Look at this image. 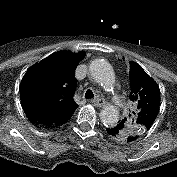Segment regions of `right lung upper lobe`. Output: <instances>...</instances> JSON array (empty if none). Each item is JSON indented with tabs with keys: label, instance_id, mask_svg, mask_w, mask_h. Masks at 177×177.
<instances>
[{
	"label": "right lung upper lobe",
	"instance_id": "1",
	"mask_svg": "<svg viewBox=\"0 0 177 177\" xmlns=\"http://www.w3.org/2000/svg\"><path fill=\"white\" fill-rule=\"evenodd\" d=\"M85 52H57L27 70L20 85V99L26 116L45 121L50 127L67 122L78 105L73 96L77 80L74 71Z\"/></svg>",
	"mask_w": 177,
	"mask_h": 177
}]
</instances>
